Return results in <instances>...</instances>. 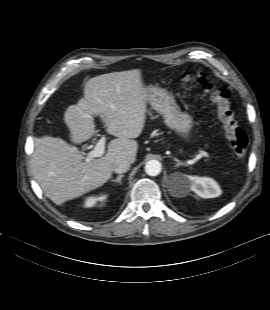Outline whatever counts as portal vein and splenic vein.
<instances>
[{"instance_id":"portal-vein-and-splenic-vein-1","label":"portal vein and splenic vein","mask_w":270,"mask_h":310,"mask_svg":"<svg viewBox=\"0 0 270 310\" xmlns=\"http://www.w3.org/2000/svg\"><path fill=\"white\" fill-rule=\"evenodd\" d=\"M105 143H106V138L105 136H102L100 140L97 142V144L95 145L94 149L91 150L87 154L86 160L90 161L93 158L101 157L105 152ZM199 155L202 157H206V158L209 157L208 153L205 151H199Z\"/></svg>"}]
</instances>
